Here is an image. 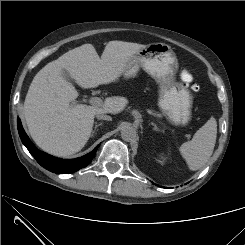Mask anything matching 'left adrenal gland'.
<instances>
[{
    "label": "left adrenal gland",
    "instance_id": "obj_1",
    "mask_svg": "<svg viewBox=\"0 0 245 245\" xmlns=\"http://www.w3.org/2000/svg\"><path fill=\"white\" fill-rule=\"evenodd\" d=\"M151 125L153 126V130L161 132L162 130H160L157 125L154 122H151Z\"/></svg>",
    "mask_w": 245,
    "mask_h": 245
}]
</instances>
